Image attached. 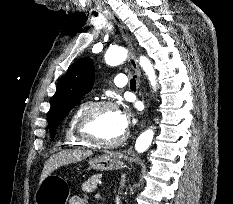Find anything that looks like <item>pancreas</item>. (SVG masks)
I'll use <instances>...</instances> for the list:
<instances>
[{"instance_id": "obj_1", "label": "pancreas", "mask_w": 233, "mask_h": 204, "mask_svg": "<svg viewBox=\"0 0 233 204\" xmlns=\"http://www.w3.org/2000/svg\"><path fill=\"white\" fill-rule=\"evenodd\" d=\"M101 177L102 176L100 174L91 176L82 184V190L87 193L94 192L97 189V184Z\"/></svg>"}]
</instances>
